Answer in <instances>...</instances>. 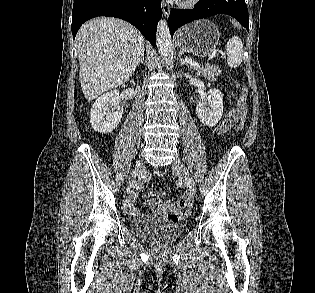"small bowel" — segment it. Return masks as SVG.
Returning a JSON list of instances; mask_svg holds the SVG:
<instances>
[{
  "label": "small bowel",
  "mask_w": 315,
  "mask_h": 293,
  "mask_svg": "<svg viewBox=\"0 0 315 293\" xmlns=\"http://www.w3.org/2000/svg\"><path fill=\"white\" fill-rule=\"evenodd\" d=\"M237 118H239L238 110H231L220 123L218 131L223 132L230 129L236 123ZM154 175L156 177L163 176L161 172H155ZM147 182V179L143 180L140 185L132 192L129 200L127 201L125 205V210L129 215L135 217L139 216L135 208V201L137 199L139 191L147 184ZM165 195V191H161L157 194V196L149 199L146 204L152 207L154 215L157 216L164 212H168V220H177V218H180L181 213L180 211H175L173 205L170 202L164 200Z\"/></svg>",
  "instance_id": "1"
}]
</instances>
